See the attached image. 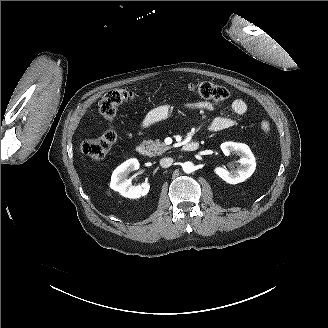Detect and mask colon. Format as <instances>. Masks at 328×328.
Listing matches in <instances>:
<instances>
[{"mask_svg":"<svg viewBox=\"0 0 328 328\" xmlns=\"http://www.w3.org/2000/svg\"><path fill=\"white\" fill-rule=\"evenodd\" d=\"M185 89L217 103L226 101L230 95L225 87L211 82L191 83ZM135 98L136 94L126 89L110 90L102 97L99 103V112L106 120L113 121L118 107ZM260 127L265 133L271 129L267 120L261 121ZM115 142L116 133L113 129H107L98 138L82 142L80 150L89 158L102 159L110 152Z\"/></svg>","mask_w":328,"mask_h":328,"instance_id":"5ec220e1","label":"colon"}]
</instances>
